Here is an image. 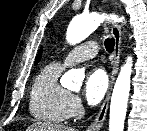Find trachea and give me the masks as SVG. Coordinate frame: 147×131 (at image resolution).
I'll list each match as a JSON object with an SVG mask.
<instances>
[{
  "mask_svg": "<svg viewBox=\"0 0 147 131\" xmlns=\"http://www.w3.org/2000/svg\"><path fill=\"white\" fill-rule=\"evenodd\" d=\"M106 50L111 53L114 50L115 41L114 38H107L104 42Z\"/></svg>",
  "mask_w": 147,
  "mask_h": 131,
  "instance_id": "obj_1",
  "label": "trachea"
}]
</instances>
